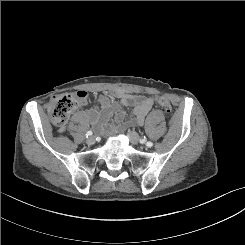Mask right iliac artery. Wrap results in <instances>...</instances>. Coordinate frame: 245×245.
Masks as SVG:
<instances>
[{
  "label": "right iliac artery",
  "mask_w": 245,
  "mask_h": 245,
  "mask_svg": "<svg viewBox=\"0 0 245 245\" xmlns=\"http://www.w3.org/2000/svg\"><path fill=\"white\" fill-rule=\"evenodd\" d=\"M92 134H93L92 131H88V132L86 133V136H87V137H90V136H92Z\"/></svg>",
  "instance_id": "obj_1"
}]
</instances>
